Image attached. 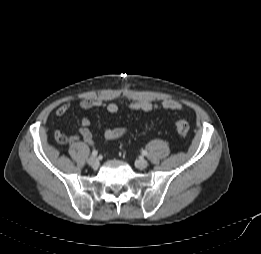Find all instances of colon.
<instances>
[{
  "label": "colon",
  "mask_w": 261,
  "mask_h": 254,
  "mask_svg": "<svg viewBox=\"0 0 261 254\" xmlns=\"http://www.w3.org/2000/svg\"><path fill=\"white\" fill-rule=\"evenodd\" d=\"M174 125L180 135H186L189 132L190 125L189 122L185 119L176 118Z\"/></svg>",
  "instance_id": "1"
}]
</instances>
